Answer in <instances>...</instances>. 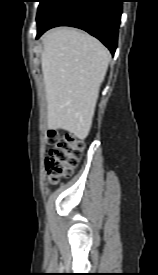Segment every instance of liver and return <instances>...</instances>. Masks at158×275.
Here are the masks:
<instances>
[{"instance_id": "1", "label": "liver", "mask_w": 158, "mask_h": 275, "mask_svg": "<svg viewBox=\"0 0 158 275\" xmlns=\"http://www.w3.org/2000/svg\"><path fill=\"white\" fill-rule=\"evenodd\" d=\"M42 44L48 128L66 130L83 140L91 129L110 52L96 38L70 28L46 32Z\"/></svg>"}]
</instances>
